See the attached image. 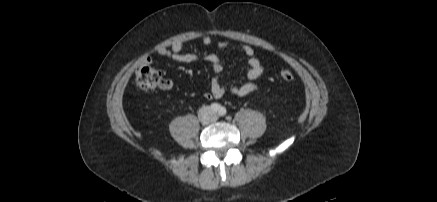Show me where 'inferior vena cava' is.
Here are the masks:
<instances>
[{"label": "inferior vena cava", "mask_w": 437, "mask_h": 202, "mask_svg": "<svg viewBox=\"0 0 437 202\" xmlns=\"http://www.w3.org/2000/svg\"><path fill=\"white\" fill-rule=\"evenodd\" d=\"M199 117L202 121L209 122L214 118V113L210 107H203L199 111Z\"/></svg>", "instance_id": "1"}]
</instances>
